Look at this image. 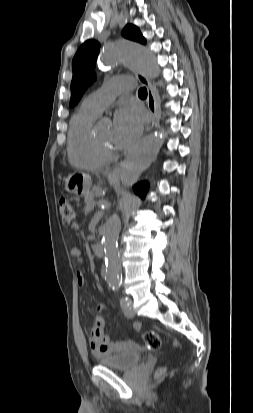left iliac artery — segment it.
Masks as SVG:
<instances>
[{
	"label": "left iliac artery",
	"instance_id": "obj_1",
	"mask_svg": "<svg viewBox=\"0 0 253 413\" xmlns=\"http://www.w3.org/2000/svg\"><path fill=\"white\" fill-rule=\"evenodd\" d=\"M120 304H121V307H122V308L127 307V306L129 305V303H128V298H127V297H122V298L120 299Z\"/></svg>",
	"mask_w": 253,
	"mask_h": 413
}]
</instances>
